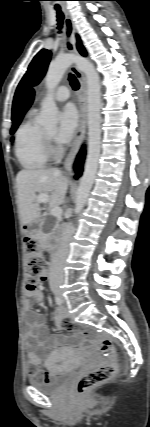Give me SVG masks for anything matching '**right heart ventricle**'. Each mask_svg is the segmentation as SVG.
<instances>
[{"instance_id": "right-heart-ventricle-1", "label": "right heart ventricle", "mask_w": 150, "mask_h": 427, "mask_svg": "<svg viewBox=\"0 0 150 427\" xmlns=\"http://www.w3.org/2000/svg\"><path fill=\"white\" fill-rule=\"evenodd\" d=\"M31 111L16 131L14 151L22 168L39 170L46 166L49 157L44 149V131L34 122Z\"/></svg>"}]
</instances>
